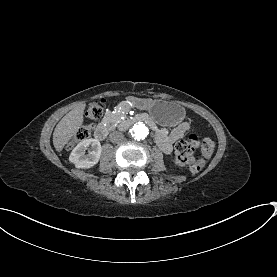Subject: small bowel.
<instances>
[{
    "instance_id": "obj_1",
    "label": "small bowel",
    "mask_w": 277,
    "mask_h": 277,
    "mask_svg": "<svg viewBox=\"0 0 277 277\" xmlns=\"http://www.w3.org/2000/svg\"><path fill=\"white\" fill-rule=\"evenodd\" d=\"M190 128V123L184 121L172 129H156L155 140L158 147L166 154L171 153L173 150V144L183 138Z\"/></svg>"
}]
</instances>
